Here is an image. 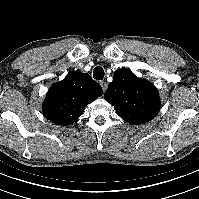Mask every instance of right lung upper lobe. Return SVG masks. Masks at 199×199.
<instances>
[{
  "label": "right lung upper lobe",
  "mask_w": 199,
  "mask_h": 199,
  "mask_svg": "<svg viewBox=\"0 0 199 199\" xmlns=\"http://www.w3.org/2000/svg\"><path fill=\"white\" fill-rule=\"evenodd\" d=\"M102 94L101 86L89 74L71 71L49 89L42 105L43 113L55 124L70 125Z\"/></svg>",
  "instance_id": "1"
}]
</instances>
